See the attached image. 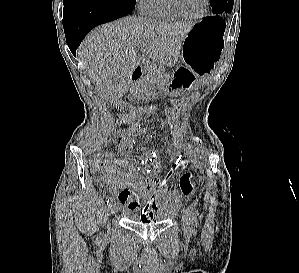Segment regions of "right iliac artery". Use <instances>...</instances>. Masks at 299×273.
I'll return each instance as SVG.
<instances>
[{
	"mask_svg": "<svg viewBox=\"0 0 299 273\" xmlns=\"http://www.w3.org/2000/svg\"><path fill=\"white\" fill-rule=\"evenodd\" d=\"M113 201H114V199L112 197L108 198V200H107L108 207L111 206V204L113 203Z\"/></svg>",
	"mask_w": 299,
	"mask_h": 273,
	"instance_id": "1",
	"label": "right iliac artery"
}]
</instances>
